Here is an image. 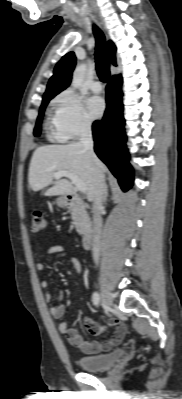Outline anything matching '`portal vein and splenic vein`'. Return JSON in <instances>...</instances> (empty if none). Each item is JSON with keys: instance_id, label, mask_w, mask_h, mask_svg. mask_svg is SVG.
I'll use <instances>...</instances> for the list:
<instances>
[{"instance_id": "1", "label": "portal vein and splenic vein", "mask_w": 182, "mask_h": 399, "mask_svg": "<svg viewBox=\"0 0 182 399\" xmlns=\"http://www.w3.org/2000/svg\"><path fill=\"white\" fill-rule=\"evenodd\" d=\"M53 177L55 179H60L61 177H67L72 181V183L75 185L77 190H79L80 192H83V193L86 192L85 183L76 174H74L70 171L55 172L53 174Z\"/></svg>"}]
</instances>
